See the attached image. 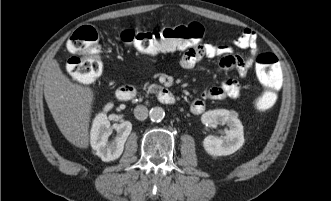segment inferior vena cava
Here are the masks:
<instances>
[{
  "mask_svg": "<svg viewBox=\"0 0 331 201\" xmlns=\"http://www.w3.org/2000/svg\"><path fill=\"white\" fill-rule=\"evenodd\" d=\"M134 116L138 120H145L148 117V109L143 105H138L134 109Z\"/></svg>",
  "mask_w": 331,
  "mask_h": 201,
  "instance_id": "1",
  "label": "inferior vena cava"
}]
</instances>
